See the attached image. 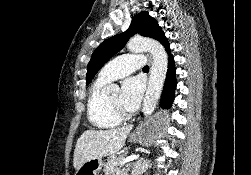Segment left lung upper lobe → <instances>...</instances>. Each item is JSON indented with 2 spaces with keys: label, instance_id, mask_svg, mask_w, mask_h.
<instances>
[{
  "label": "left lung upper lobe",
  "instance_id": "obj_1",
  "mask_svg": "<svg viewBox=\"0 0 251 175\" xmlns=\"http://www.w3.org/2000/svg\"><path fill=\"white\" fill-rule=\"evenodd\" d=\"M140 33L142 36L159 40L165 34L162 32L157 21L149 16L147 11L136 14L128 30L122 34L115 35L102 42L93 52L87 65L86 82L91 83L100 68L118 51H120L131 36Z\"/></svg>",
  "mask_w": 251,
  "mask_h": 175
}]
</instances>
